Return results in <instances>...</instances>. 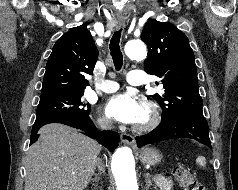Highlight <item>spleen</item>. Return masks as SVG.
<instances>
[{
  "label": "spleen",
  "instance_id": "1",
  "mask_svg": "<svg viewBox=\"0 0 238 190\" xmlns=\"http://www.w3.org/2000/svg\"><path fill=\"white\" fill-rule=\"evenodd\" d=\"M196 162L201 166V167H205L206 166V159L203 156H199L196 159Z\"/></svg>",
  "mask_w": 238,
  "mask_h": 190
}]
</instances>
